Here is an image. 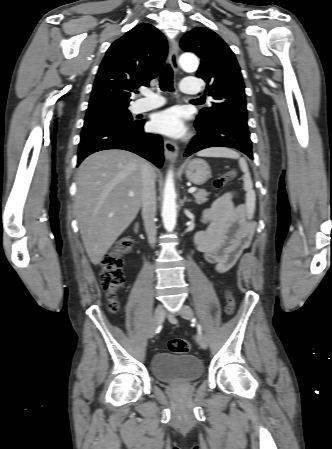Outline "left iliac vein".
<instances>
[{"mask_svg": "<svg viewBox=\"0 0 332 449\" xmlns=\"http://www.w3.org/2000/svg\"><path fill=\"white\" fill-rule=\"evenodd\" d=\"M179 313H180L181 317H183L184 319H187V320H190L193 317V310L187 305H182ZM197 340H198V344L200 345V347L202 349L207 348L208 340L204 334L200 333L198 335Z\"/></svg>", "mask_w": 332, "mask_h": 449, "instance_id": "obj_1", "label": "left iliac vein"}]
</instances>
